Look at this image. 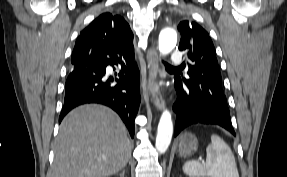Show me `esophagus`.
Instances as JSON below:
<instances>
[{"label":"esophagus","mask_w":287,"mask_h":177,"mask_svg":"<svg viewBox=\"0 0 287 177\" xmlns=\"http://www.w3.org/2000/svg\"><path fill=\"white\" fill-rule=\"evenodd\" d=\"M147 68H148V94L150 101L158 110H162L164 103L162 95L157 86L158 77V54L155 43L149 47L147 51Z\"/></svg>","instance_id":"34e87169"}]
</instances>
